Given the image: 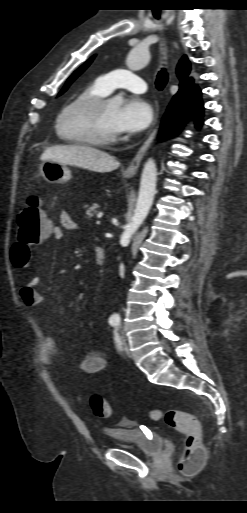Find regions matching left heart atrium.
<instances>
[{"label":"left heart atrium","mask_w":247,"mask_h":513,"mask_svg":"<svg viewBox=\"0 0 247 513\" xmlns=\"http://www.w3.org/2000/svg\"><path fill=\"white\" fill-rule=\"evenodd\" d=\"M153 120L151 105L142 98L133 96L119 107L114 127L117 133H137L146 129Z\"/></svg>","instance_id":"left-heart-atrium-1"}]
</instances>
